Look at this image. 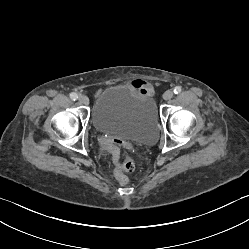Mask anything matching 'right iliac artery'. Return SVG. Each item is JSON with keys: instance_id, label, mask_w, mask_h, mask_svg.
<instances>
[{"instance_id": "82829eb1", "label": "right iliac artery", "mask_w": 249, "mask_h": 249, "mask_svg": "<svg viewBox=\"0 0 249 249\" xmlns=\"http://www.w3.org/2000/svg\"><path fill=\"white\" fill-rule=\"evenodd\" d=\"M70 98L75 101L78 99V95L75 92H72L70 93Z\"/></svg>"}]
</instances>
